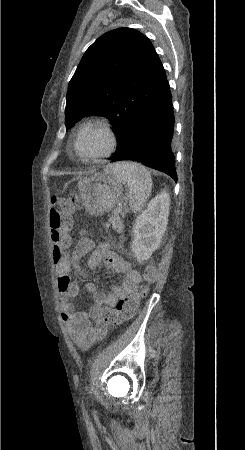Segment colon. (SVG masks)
<instances>
[{
  "mask_svg": "<svg viewBox=\"0 0 245 450\" xmlns=\"http://www.w3.org/2000/svg\"><path fill=\"white\" fill-rule=\"evenodd\" d=\"M52 209L48 217V229L52 242V258L54 264L62 262L67 254L72 240V214L80 206L76 193H69L62 197H54L51 201ZM85 233L86 230H83ZM158 278V266L148 264L143 270L144 283L138 285L129 296L118 300L114 307L104 306L98 312L100 321L117 326L133 318L141 302L149 293V285Z\"/></svg>",
  "mask_w": 245,
  "mask_h": 450,
  "instance_id": "5ec220e1",
  "label": "colon"
}]
</instances>
